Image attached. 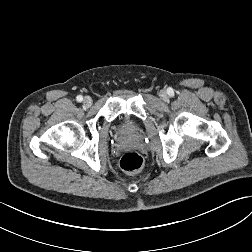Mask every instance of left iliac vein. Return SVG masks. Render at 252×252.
<instances>
[{"label":"left iliac vein","instance_id":"left-iliac-vein-1","mask_svg":"<svg viewBox=\"0 0 252 252\" xmlns=\"http://www.w3.org/2000/svg\"><path fill=\"white\" fill-rule=\"evenodd\" d=\"M160 97L166 101L168 99V94L166 93V91L162 90L160 92Z\"/></svg>","mask_w":252,"mask_h":252}]
</instances>
